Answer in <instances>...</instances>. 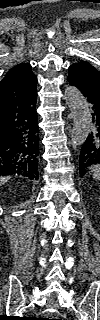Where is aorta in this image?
<instances>
[{"instance_id":"1","label":"aorta","mask_w":100,"mask_h":320,"mask_svg":"<svg viewBox=\"0 0 100 320\" xmlns=\"http://www.w3.org/2000/svg\"><path fill=\"white\" fill-rule=\"evenodd\" d=\"M64 99L73 116L71 142L75 146L82 145L90 133L92 116L87 101L81 92L73 86H67Z\"/></svg>"}]
</instances>
